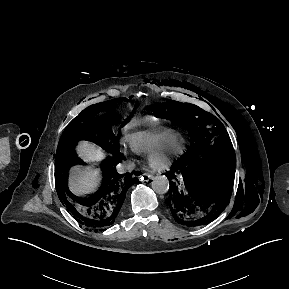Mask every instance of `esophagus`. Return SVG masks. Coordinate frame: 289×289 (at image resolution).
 I'll return each mask as SVG.
<instances>
[{
  "label": "esophagus",
  "instance_id": "obj_1",
  "mask_svg": "<svg viewBox=\"0 0 289 289\" xmlns=\"http://www.w3.org/2000/svg\"><path fill=\"white\" fill-rule=\"evenodd\" d=\"M154 179V176L152 175V174H150V173H144L142 176H141V180L143 181V182H149V181H151V180H153Z\"/></svg>",
  "mask_w": 289,
  "mask_h": 289
}]
</instances>
